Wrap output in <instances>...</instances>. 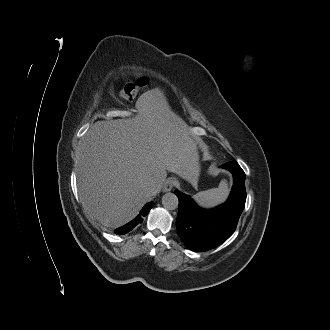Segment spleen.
I'll use <instances>...</instances> for the list:
<instances>
[{"instance_id": "obj_1", "label": "spleen", "mask_w": 330, "mask_h": 330, "mask_svg": "<svg viewBox=\"0 0 330 330\" xmlns=\"http://www.w3.org/2000/svg\"><path fill=\"white\" fill-rule=\"evenodd\" d=\"M229 194L228 183L226 180H222L219 188L209 190L207 192L199 193L193 198L195 201L203 207L210 208L224 202Z\"/></svg>"}]
</instances>
